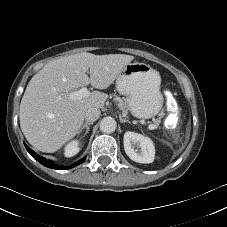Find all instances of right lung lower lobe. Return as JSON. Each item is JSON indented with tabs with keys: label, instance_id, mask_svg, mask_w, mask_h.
Segmentation results:
<instances>
[{
	"label": "right lung lower lobe",
	"instance_id": "98d812e1",
	"mask_svg": "<svg viewBox=\"0 0 227 227\" xmlns=\"http://www.w3.org/2000/svg\"><path fill=\"white\" fill-rule=\"evenodd\" d=\"M25 147L27 149V151L37 160L39 161L42 165L49 167V168H54V169H59V170H65V169H69L72 167H75L77 165H79L80 163H82L85 158L79 160L78 162H76L75 164H73L72 166L69 167H63V166H57L55 164H53L51 161L46 160L45 158H43L42 156H39L38 154H36L32 149H30L26 144Z\"/></svg>",
	"mask_w": 227,
	"mask_h": 227
}]
</instances>
